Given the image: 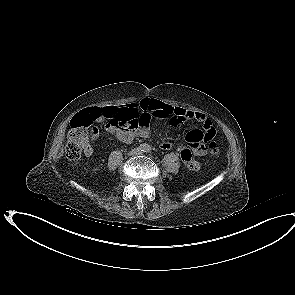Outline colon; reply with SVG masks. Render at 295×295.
Returning a JSON list of instances; mask_svg holds the SVG:
<instances>
[{
  "mask_svg": "<svg viewBox=\"0 0 295 295\" xmlns=\"http://www.w3.org/2000/svg\"><path fill=\"white\" fill-rule=\"evenodd\" d=\"M100 115L105 119L112 120L113 109L109 107L102 108ZM118 125L123 128L136 129L139 126V122L126 119ZM96 130L92 118L87 113L78 115L72 120L65 147L66 156L70 161L77 162L80 160ZM220 152V146L216 142L212 141L209 143V153L212 157H218Z\"/></svg>",
  "mask_w": 295,
  "mask_h": 295,
  "instance_id": "1",
  "label": "colon"
}]
</instances>
